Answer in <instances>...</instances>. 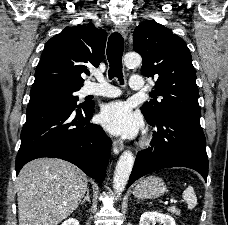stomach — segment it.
I'll list each match as a JSON object with an SVG mask.
<instances>
[{
	"label": "stomach",
	"instance_id": "obj_1",
	"mask_svg": "<svg viewBox=\"0 0 228 225\" xmlns=\"http://www.w3.org/2000/svg\"><path fill=\"white\" fill-rule=\"evenodd\" d=\"M166 183L159 177H146L139 181L134 189V197L137 199H158L166 193Z\"/></svg>",
	"mask_w": 228,
	"mask_h": 225
}]
</instances>
